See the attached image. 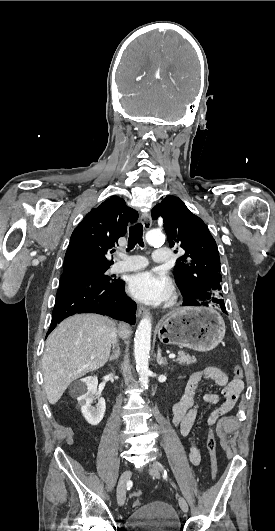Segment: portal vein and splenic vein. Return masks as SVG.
<instances>
[{"label":"portal vein and splenic vein","mask_w":275,"mask_h":531,"mask_svg":"<svg viewBox=\"0 0 275 531\" xmlns=\"http://www.w3.org/2000/svg\"><path fill=\"white\" fill-rule=\"evenodd\" d=\"M176 355H169V359H175ZM91 359H95V357H91Z\"/></svg>","instance_id":"18ae733b"}]
</instances>
